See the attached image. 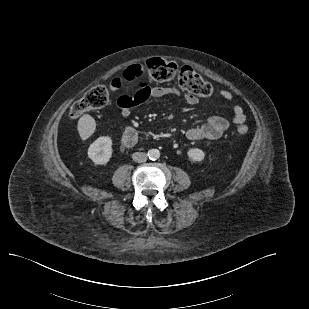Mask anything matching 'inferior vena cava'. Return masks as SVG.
Instances as JSON below:
<instances>
[{"label": "inferior vena cava", "instance_id": "1", "mask_svg": "<svg viewBox=\"0 0 309 309\" xmlns=\"http://www.w3.org/2000/svg\"><path fill=\"white\" fill-rule=\"evenodd\" d=\"M132 159L138 163L146 162L147 154L143 152H135L132 155Z\"/></svg>", "mask_w": 309, "mask_h": 309}]
</instances>
